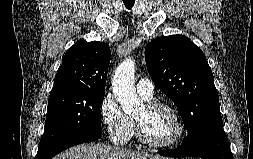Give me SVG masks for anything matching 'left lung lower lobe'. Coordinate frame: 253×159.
I'll return each mask as SVG.
<instances>
[{
	"mask_svg": "<svg viewBox=\"0 0 253 159\" xmlns=\"http://www.w3.org/2000/svg\"><path fill=\"white\" fill-rule=\"evenodd\" d=\"M169 157H200L203 159H234L223 126H216L203 137H187L174 150L159 151Z\"/></svg>",
	"mask_w": 253,
	"mask_h": 159,
	"instance_id": "0a47b994",
	"label": "left lung lower lobe"
}]
</instances>
